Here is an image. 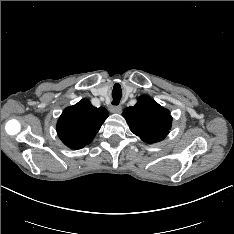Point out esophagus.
Masks as SVG:
<instances>
[{
    "mask_svg": "<svg viewBox=\"0 0 234 234\" xmlns=\"http://www.w3.org/2000/svg\"><path fill=\"white\" fill-rule=\"evenodd\" d=\"M121 110H122V107L120 105H118V106H111L110 107V111L112 113H120Z\"/></svg>",
    "mask_w": 234,
    "mask_h": 234,
    "instance_id": "obj_1",
    "label": "esophagus"
}]
</instances>
